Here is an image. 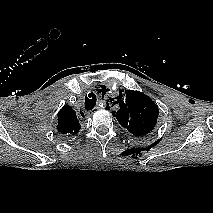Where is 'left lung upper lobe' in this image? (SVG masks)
I'll use <instances>...</instances> for the list:
<instances>
[{"label":"left lung upper lobe","instance_id":"obj_1","mask_svg":"<svg viewBox=\"0 0 213 213\" xmlns=\"http://www.w3.org/2000/svg\"><path fill=\"white\" fill-rule=\"evenodd\" d=\"M115 99L114 104L119 105V110L112 114L130 133L144 136L154 129L159 109L150 97L139 91L125 90L119 91Z\"/></svg>","mask_w":213,"mask_h":213}]
</instances>
